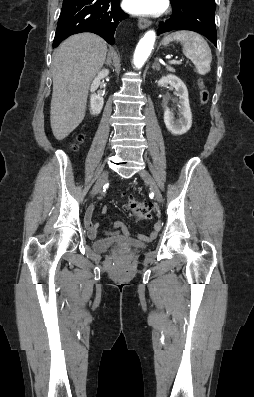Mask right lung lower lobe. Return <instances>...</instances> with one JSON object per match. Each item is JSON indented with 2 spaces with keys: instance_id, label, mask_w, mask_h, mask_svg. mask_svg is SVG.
<instances>
[{
  "instance_id": "1",
  "label": "right lung lower lobe",
  "mask_w": 254,
  "mask_h": 397,
  "mask_svg": "<svg viewBox=\"0 0 254 397\" xmlns=\"http://www.w3.org/2000/svg\"><path fill=\"white\" fill-rule=\"evenodd\" d=\"M119 3L120 0H64L53 48L67 37L81 32L95 33L114 44L116 28L129 17Z\"/></svg>"
}]
</instances>
